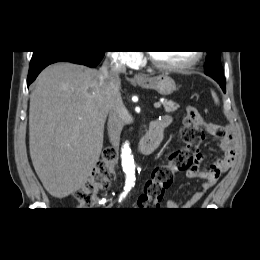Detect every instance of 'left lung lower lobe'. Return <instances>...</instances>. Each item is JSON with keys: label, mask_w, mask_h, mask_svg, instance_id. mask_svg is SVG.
<instances>
[{"label": "left lung lower lobe", "mask_w": 260, "mask_h": 260, "mask_svg": "<svg viewBox=\"0 0 260 260\" xmlns=\"http://www.w3.org/2000/svg\"><path fill=\"white\" fill-rule=\"evenodd\" d=\"M205 74L212 77L215 81H217L221 86L223 92L224 93L226 92L225 77L222 71H213V72L206 71Z\"/></svg>", "instance_id": "left-lung-lower-lobe-1"}]
</instances>
